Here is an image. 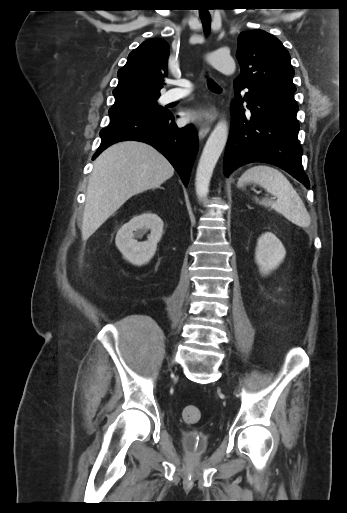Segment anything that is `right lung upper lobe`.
<instances>
[{"mask_svg":"<svg viewBox=\"0 0 347 513\" xmlns=\"http://www.w3.org/2000/svg\"><path fill=\"white\" fill-rule=\"evenodd\" d=\"M168 56L169 45L159 38L146 40L133 50L117 73L119 82L113 90L114 105L141 98H159Z\"/></svg>","mask_w":347,"mask_h":513,"instance_id":"cb5924a9","label":"right lung upper lobe"}]
</instances>
